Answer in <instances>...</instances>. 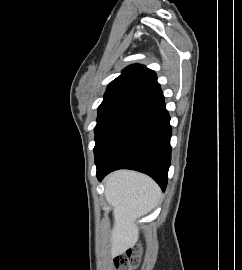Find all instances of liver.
Wrapping results in <instances>:
<instances>
[{"mask_svg": "<svg viewBox=\"0 0 242 270\" xmlns=\"http://www.w3.org/2000/svg\"><path fill=\"white\" fill-rule=\"evenodd\" d=\"M158 185L148 176L119 170L105 178V197L114 207L112 248L115 252L132 247L139 238L136 219L149 213L160 200Z\"/></svg>", "mask_w": 242, "mask_h": 270, "instance_id": "1", "label": "liver"}]
</instances>
